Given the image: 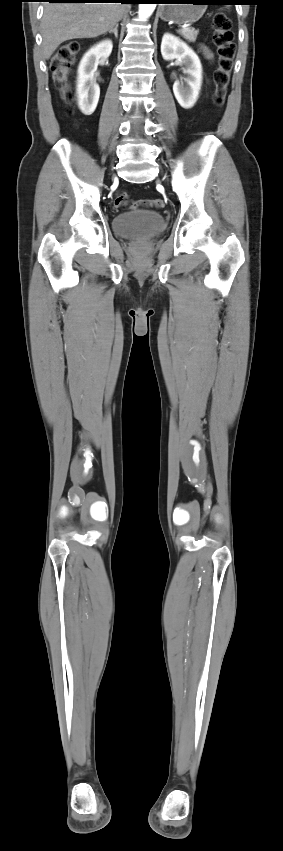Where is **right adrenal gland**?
Instances as JSON below:
<instances>
[{
    "label": "right adrenal gland",
    "instance_id": "obj_1",
    "mask_svg": "<svg viewBox=\"0 0 283 851\" xmlns=\"http://www.w3.org/2000/svg\"><path fill=\"white\" fill-rule=\"evenodd\" d=\"M118 26L119 24L117 23L113 29L109 30V33H114L116 38H118Z\"/></svg>",
    "mask_w": 283,
    "mask_h": 851
}]
</instances>
